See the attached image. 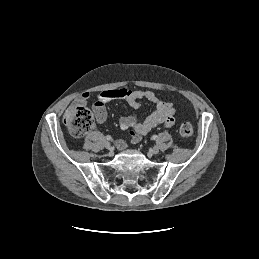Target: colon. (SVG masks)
I'll return each instance as SVG.
<instances>
[{
    "label": "colon",
    "mask_w": 259,
    "mask_h": 259,
    "mask_svg": "<svg viewBox=\"0 0 259 259\" xmlns=\"http://www.w3.org/2000/svg\"><path fill=\"white\" fill-rule=\"evenodd\" d=\"M64 124L67 126L70 133L75 137H81L88 133L95 124L94 115L91 110L82 104H73L70 106L63 116ZM193 126L188 123H182L179 127V134L183 138L193 136Z\"/></svg>",
    "instance_id": "colon-1"
}]
</instances>
